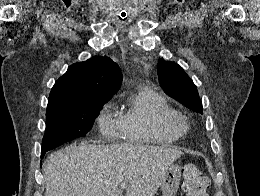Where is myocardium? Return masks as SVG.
Instances as JSON below:
<instances>
[{
	"label": "myocardium",
	"mask_w": 260,
	"mask_h": 196,
	"mask_svg": "<svg viewBox=\"0 0 260 196\" xmlns=\"http://www.w3.org/2000/svg\"><path fill=\"white\" fill-rule=\"evenodd\" d=\"M161 123L168 128L175 129L181 134H184L188 131V122L184 113L181 111H173L161 120Z\"/></svg>",
	"instance_id": "1"
}]
</instances>
